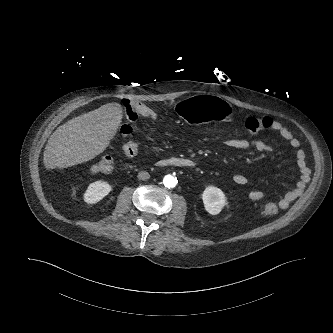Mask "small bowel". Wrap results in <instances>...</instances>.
<instances>
[{"label": "small bowel", "mask_w": 333, "mask_h": 333, "mask_svg": "<svg viewBox=\"0 0 333 333\" xmlns=\"http://www.w3.org/2000/svg\"><path fill=\"white\" fill-rule=\"evenodd\" d=\"M134 106H143L135 104ZM270 129L279 133V135L287 141L292 149L295 150L296 162L299 168L300 177L296 186L290 191L286 192L278 201L280 208L286 209L290 204L301 194L308 177V167L306 164V156L304 151L300 148V141L293 135V133L280 121L271 119ZM224 146L230 149L240 151H257V152H270L272 146L262 139H227L223 142ZM138 151V145L135 142H128L124 146V152L128 156H133ZM233 182L237 185H245L248 180L243 174L236 173L232 177ZM266 196L265 192L261 190H251L248 192V197L251 200H261Z\"/></svg>", "instance_id": "obj_1"}]
</instances>
